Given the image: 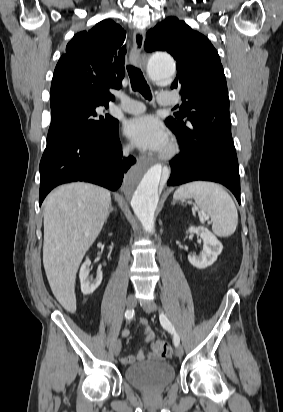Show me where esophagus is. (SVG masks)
<instances>
[{"label":"esophagus","instance_id":"esophagus-1","mask_svg":"<svg viewBox=\"0 0 283 412\" xmlns=\"http://www.w3.org/2000/svg\"><path fill=\"white\" fill-rule=\"evenodd\" d=\"M144 41V32L141 30H135L133 34V45L130 51V60L135 65H142L144 63V58L141 57Z\"/></svg>","mask_w":283,"mask_h":412}]
</instances>
